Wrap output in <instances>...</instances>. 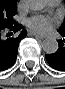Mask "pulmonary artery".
<instances>
[{
  "mask_svg": "<svg viewBox=\"0 0 65 89\" xmlns=\"http://www.w3.org/2000/svg\"><path fill=\"white\" fill-rule=\"evenodd\" d=\"M57 3H58L57 0H48V4H49L50 6H54V5H56Z\"/></svg>",
  "mask_w": 65,
  "mask_h": 89,
  "instance_id": "pulmonary-artery-1",
  "label": "pulmonary artery"
}]
</instances>
